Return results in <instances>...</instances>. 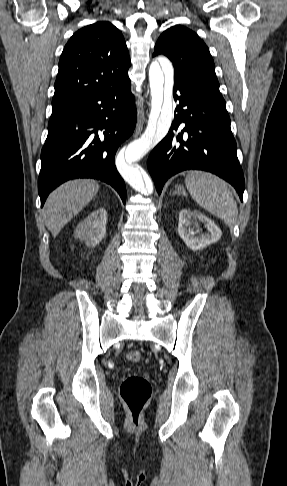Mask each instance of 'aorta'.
Returning <instances> with one entry per match:
<instances>
[{"mask_svg": "<svg viewBox=\"0 0 287 486\" xmlns=\"http://www.w3.org/2000/svg\"><path fill=\"white\" fill-rule=\"evenodd\" d=\"M151 90V111L148 125L140 138L130 143L125 151V161L117 163L123 179L140 193H151V182L145 184L139 167L133 163L151 146L160 142L168 133L173 120L172 90L174 70L172 63L165 57L153 61L149 69ZM165 83V87H164Z\"/></svg>", "mask_w": 287, "mask_h": 486, "instance_id": "1", "label": "aorta"}]
</instances>
